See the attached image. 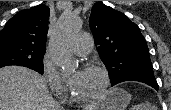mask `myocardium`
I'll return each instance as SVG.
<instances>
[{"label": "myocardium", "instance_id": "f54148a6", "mask_svg": "<svg viewBox=\"0 0 171 110\" xmlns=\"http://www.w3.org/2000/svg\"><path fill=\"white\" fill-rule=\"evenodd\" d=\"M85 69H93V70L98 71L100 75L102 76V86L97 93L91 96H86V97L76 95L74 91L71 89L70 90L71 99L78 103H91V102H95L99 100L105 95L110 85V74L104 66L90 63L85 66Z\"/></svg>", "mask_w": 171, "mask_h": 110}]
</instances>
